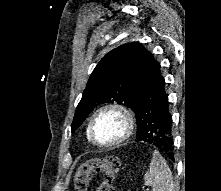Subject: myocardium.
<instances>
[{
  "mask_svg": "<svg viewBox=\"0 0 221 191\" xmlns=\"http://www.w3.org/2000/svg\"><path fill=\"white\" fill-rule=\"evenodd\" d=\"M105 113H115L119 115L124 123V129L123 133L115 140L107 143H100L98 142L93 134V129H94V124L97 120V118ZM136 126V120L134 113L127 108L126 106L122 104H117V103H110L103 105L99 107L91 116L88 128H87V134L89 140L96 146L101 147V148H111L118 146L128 140L130 136L133 134L134 129Z\"/></svg>",
  "mask_w": 221,
  "mask_h": 191,
  "instance_id": "obj_1",
  "label": "myocardium"
}]
</instances>
